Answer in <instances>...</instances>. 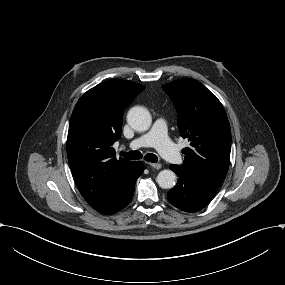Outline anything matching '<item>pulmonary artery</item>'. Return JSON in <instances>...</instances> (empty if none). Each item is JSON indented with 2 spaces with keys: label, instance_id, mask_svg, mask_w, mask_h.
I'll use <instances>...</instances> for the list:
<instances>
[{
  "label": "pulmonary artery",
  "instance_id": "obj_1",
  "mask_svg": "<svg viewBox=\"0 0 285 285\" xmlns=\"http://www.w3.org/2000/svg\"><path fill=\"white\" fill-rule=\"evenodd\" d=\"M153 145L159 150L161 155L167 159L180 163L182 161L180 155V146L173 144L167 138V124L164 119H157L152 128L134 139L129 147L137 149L143 146Z\"/></svg>",
  "mask_w": 285,
  "mask_h": 285
}]
</instances>
